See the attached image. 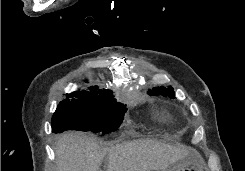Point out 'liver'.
<instances>
[{"mask_svg":"<svg viewBox=\"0 0 245 171\" xmlns=\"http://www.w3.org/2000/svg\"><path fill=\"white\" fill-rule=\"evenodd\" d=\"M55 154L57 171H101L106 154L107 171H159L188 157L191 151L149 139L101 148L86 133L66 132L59 137Z\"/></svg>","mask_w":245,"mask_h":171,"instance_id":"obj_1","label":"liver"}]
</instances>
